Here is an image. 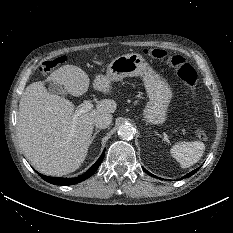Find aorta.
<instances>
[{
	"instance_id": "1",
	"label": "aorta",
	"mask_w": 233,
	"mask_h": 233,
	"mask_svg": "<svg viewBox=\"0 0 233 233\" xmlns=\"http://www.w3.org/2000/svg\"><path fill=\"white\" fill-rule=\"evenodd\" d=\"M135 134V128L131 124H122L118 128V135L123 139V140H130L133 138Z\"/></svg>"
}]
</instances>
